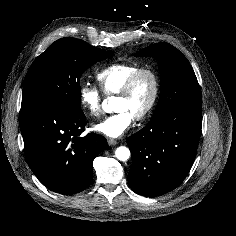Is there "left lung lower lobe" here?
<instances>
[{
    "label": "left lung lower lobe",
    "instance_id": "1",
    "mask_svg": "<svg viewBox=\"0 0 236 236\" xmlns=\"http://www.w3.org/2000/svg\"><path fill=\"white\" fill-rule=\"evenodd\" d=\"M202 106L178 107L150 121L127 139L132 167L129 185L137 194L156 197L177 188L196 157Z\"/></svg>",
    "mask_w": 236,
    "mask_h": 236
}]
</instances>
